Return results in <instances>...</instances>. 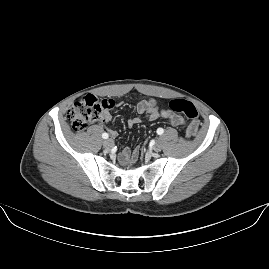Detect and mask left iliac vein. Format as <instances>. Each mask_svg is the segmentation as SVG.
Listing matches in <instances>:
<instances>
[{
    "mask_svg": "<svg viewBox=\"0 0 269 269\" xmlns=\"http://www.w3.org/2000/svg\"><path fill=\"white\" fill-rule=\"evenodd\" d=\"M154 150L160 152L162 150V142L158 139L154 145Z\"/></svg>",
    "mask_w": 269,
    "mask_h": 269,
    "instance_id": "4c4485c4",
    "label": "left iliac vein"
}]
</instances>
